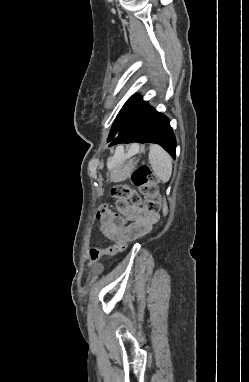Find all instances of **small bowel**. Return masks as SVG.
<instances>
[{
	"label": "small bowel",
	"instance_id": "c3829d8e",
	"mask_svg": "<svg viewBox=\"0 0 249 382\" xmlns=\"http://www.w3.org/2000/svg\"><path fill=\"white\" fill-rule=\"evenodd\" d=\"M125 217L130 222L126 227L115 228L110 222L99 217V223L103 233L110 239L135 240L147 234L153 224L158 221V216L147 212L139 206H132L125 210Z\"/></svg>",
	"mask_w": 249,
	"mask_h": 382
}]
</instances>
